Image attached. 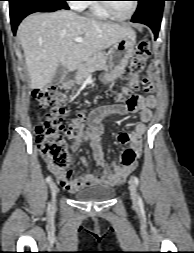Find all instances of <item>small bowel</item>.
<instances>
[{
    "mask_svg": "<svg viewBox=\"0 0 194 253\" xmlns=\"http://www.w3.org/2000/svg\"><path fill=\"white\" fill-rule=\"evenodd\" d=\"M142 83L144 91L147 93L145 96H140V93H131V97H126L125 104H116L96 110L89 117L88 128L70 143V150L76 152L82 143L89 142L97 165L102 169L101 174L85 173L80 177H74L71 170L60 171L49 165V169L64 190L76 192L92 185H119L136 168V160L128 166L118 163L109 166L106 163L101 142L103 133L101 120L111 115H138L139 122L136 123L134 130L131 132L122 131L118 135V141L121 144H128L129 149L135 152L137 159L142 151V138L147 132V123L151 120L152 110L156 106V98L152 94L154 90L152 82L148 78H144ZM81 161L83 164H87L85 158H82Z\"/></svg>",
    "mask_w": 194,
    "mask_h": 253,
    "instance_id": "obj_1",
    "label": "small bowel"
}]
</instances>
